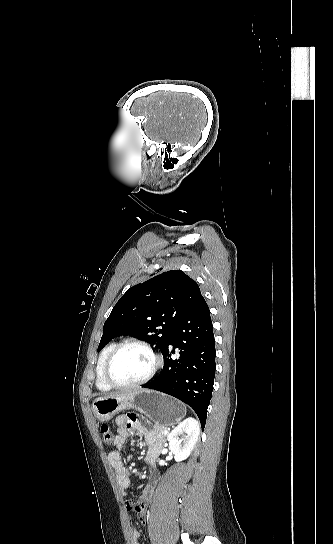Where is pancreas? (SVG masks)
<instances>
[{"mask_svg": "<svg viewBox=\"0 0 333 544\" xmlns=\"http://www.w3.org/2000/svg\"><path fill=\"white\" fill-rule=\"evenodd\" d=\"M165 427L163 426H157L155 425L152 429H151V432L154 433V434H157L161 439L162 441H165L166 440V435L164 434V431H165Z\"/></svg>", "mask_w": 333, "mask_h": 544, "instance_id": "1", "label": "pancreas"}]
</instances>
